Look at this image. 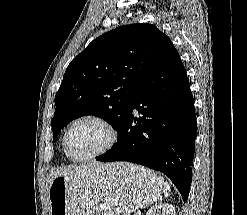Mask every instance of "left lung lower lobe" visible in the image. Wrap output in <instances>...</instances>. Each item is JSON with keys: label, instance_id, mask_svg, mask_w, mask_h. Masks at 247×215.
Segmentation results:
<instances>
[{"label": "left lung lower lobe", "instance_id": "0a47b994", "mask_svg": "<svg viewBox=\"0 0 247 215\" xmlns=\"http://www.w3.org/2000/svg\"><path fill=\"white\" fill-rule=\"evenodd\" d=\"M135 109L139 118L132 114ZM117 133V143L98 161H127L162 172L187 201L196 114L186 70L172 43L137 88Z\"/></svg>", "mask_w": 247, "mask_h": 215}]
</instances>
